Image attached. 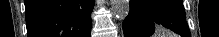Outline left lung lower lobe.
Masks as SVG:
<instances>
[{
    "label": "left lung lower lobe",
    "instance_id": "left-lung-lower-lobe-1",
    "mask_svg": "<svg viewBox=\"0 0 219 37\" xmlns=\"http://www.w3.org/2000/svg\"><path fill=\"white\" fill-rule=\"evenodd\" d=\"M162 25L182 37H191L183 3L178 0H131L123 22L124 37H149Z\"/></svg>",
    "mask_w": 219,
    "mask_h": 37
}]
</instances>
